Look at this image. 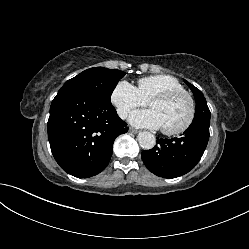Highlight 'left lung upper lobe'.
<instances>
[{
  "mask_svg": "<svg viewBox=\"0 0 249 249\" xmlns=\"http://www.w3.org/2000/svg\"><path fill=\"white\" fill-rule=\"evenodd\" d=\"M185 83L188 85V87L192 90L195 101H196V111H195V116L194 118L198 117H210V110L207 106L206 99L203 95V93L197 89L195 86L191 85L188 83L186 80H184Z\"/></svg>",
  "mask_w": 249,
  "mask_h": 249,
  "instance_id": "5c2ea615",
  "label": "left lung upper lobe"
}]
</instances>
